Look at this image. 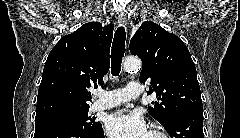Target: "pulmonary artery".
<instances>
[{"label": "pulmonary artery", "mask_w": 240, "mask_h": 138, "mask_svg": "<svg viewBox=\"0 0 240 138\" xmlns=\"http://www.w3.org/2000/svg\"><path fill=\"white\" fill-rule=\"evenodd\" d=\"M143 93L141 84L137 81H130L125 88L112 91L102 89L95 90L98 100L92 105L93 109L104 110L119 106L132 99L139 97Z\"/></svg>", "instance_id": "e3ab8cb5"}]
</instances>
